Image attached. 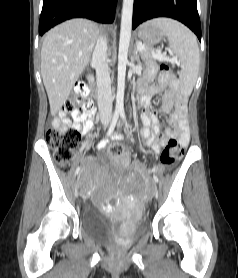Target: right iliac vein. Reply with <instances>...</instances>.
Here are the masks:
<instances>
[{
  "mask_svg": "<svg viewBox=\"0 0 238 278\" xmlns=\"http://www.w3.org/2000/svg\"><path fill=\"white\" fill-rule=\"evenodd\" d=\"M73 189H74V195H78L77 186H73Z\"/></svg>",
  "mask_w": 238,
  "mask_h": 278,
  "instance_id": "1",
  "label": "right iliac vein"
}]
</instances>
